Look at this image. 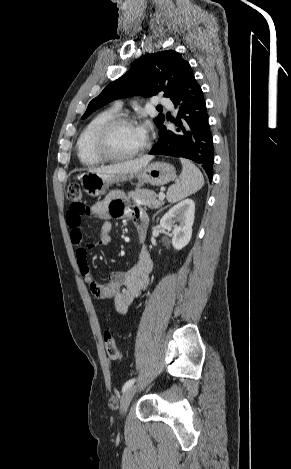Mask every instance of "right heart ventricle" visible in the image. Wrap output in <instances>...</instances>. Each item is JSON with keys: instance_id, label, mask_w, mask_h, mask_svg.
Returning <instances> with one entry per match:
<instances>
[{"instance_id": "e07e8e85", "label": "right heart ventricle", "mask_w": 291, "mask_h": 469, "mask_svg": "<svg viewBox=\"0 0 291 469\" xmlns=\"http://www.w3.org/2000/svg\"><path fill=\"white\" fill-rule=\"evenodd\" d=\"M118 114L116 107L107 108L93 116L82 129L76 142L79 161L84 166H97L105 161L96 150L95 137L99 127L108 119Z\"/></svg>"}]
</instances>
